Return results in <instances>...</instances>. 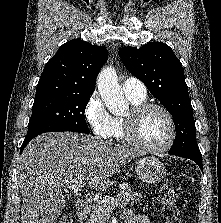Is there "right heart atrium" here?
I'll return each mask as SVG.
<instances>
[{"instance_id": "d8ad5b80", "label": "right heart atrium", "mask_w": 221, "mask_h": 223, "mask_svg": "<svg viewBox=\"0 0 221 223\" xmlns=\"http://www.w3.org/2000/svg\"><path fill=\"white\" fill-rule=\"evenodd\" d=\"M84 117L96 137L108 139L113 136V117L107 111L97 92H93L88 98L84 107Z\"/></svg>"}]
</instances>
